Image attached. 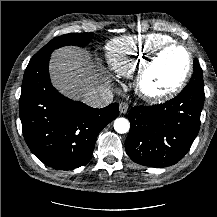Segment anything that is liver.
<instances>
[{
  "mask_svg": "<svg viewBox=\"0 0 217 217\" xmlns=\"http://www.w3.org/2000/svg\"><path fill=\"white\" fill-rule=\"evenodd\" d=\"M49 69L54 86L73 99H83L97 83V75L88 56L76 47L54 51Z\"/></svg>",
  "mask_w": 217,
  "mask_h": 217,
  "instance_id": "1",
  "label": "liver"
}]
</instances>
